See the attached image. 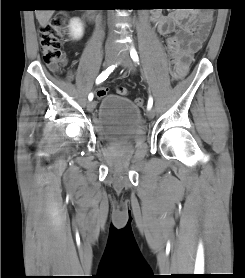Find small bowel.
Wrapping results in <instances>:
<instances>
[{
    "instance_id": "1",
    "label": "small bowel",
    "mask_w": 245,
    "mask_h": 278,
    "mask_svg": "<svg viewBox=\"0 0 245 278\" xmlns=\"http://www.w3.org/2000/svg\"><path fill=\"white\" fill-rule=\"evenodd\" d=\"M209 15L194 10L189 14L173 12L169 16L153 17L156 31L165 38L171 65H174L181 75L187 72L189 63L208 36L209 31L204 28V23ZM73 76V72H69L68 79L72 80ZM105 95L98 94L99 97Z\"/></svg>"
}]
</instances>
